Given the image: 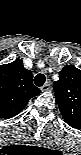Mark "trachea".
I'll use <instances>...</instances> for the list:
<instances>
[{
	"label": "trachea",
	"mask_w": 81,
	"mask_h": 155,
	"mask_svg": "<svg viewBox=\"0 0 81 155\" xmlns=\"http://www.w3.org/2000/svg\"><path fill=\"white\" fill-rule=\"evenodd\" d=\"M46 77L43 74H37L35 79H34V83L36 86H42L45 83Z\"/></svg>",
	"instance_id": "1"
}]
</instances>
